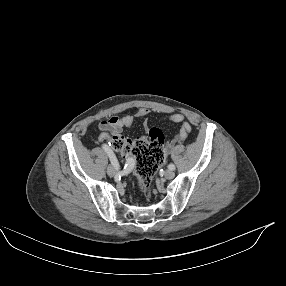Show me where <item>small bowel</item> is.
<instances>
[{
	"label": "small bowel",
	"mask_w": 286,
	"mask_h": 286,
	"mask_svg": "<svg viewBox=\"0 0 286 286\" xmlns=\"http://www.w3.org/2000/svg\"><path fill=\"white\" fill-rule=\"evenodd\" d=\"M148 113L149 111L147 109L139 108L135 115H125L121 117L111 116L102 120L99 123L100 134L98 140L100 142H109L112 135L120 134L125 129L131 128L134 125L136 118L143 119L144 129L148 130V123L146 121ZM185 119V115L181 113H174L164 117V120L182 124L179 133L167 144V151L173 149L176 144L185 141L191 132V125L186 122ZM132 166L129 167V169H131Z\"/></svg>",
	"instance_id": "small-bowel-1"
}]
</instances>
